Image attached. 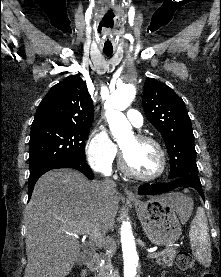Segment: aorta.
Masks as SVG:
<instances>
[{
	"label": "aorta",
	"instance_id": "aorta-1",
	"mask_svg": "<svg viewBox=\"0 0 221 277\" xmlns=\"http://www.w3.org/2000/svg\"><path fill=\"white\" fill-rule=\"evenodd\" d=\"M135 93V86L125 83L119 86L105 102L106 118L110 130L118 141L131 133V125L122 111L132 103ZM118 232L124 262V277H139L140 256L130 222L122 221Z\"/></svg>",
	"mask_w": 221,
	"mask_h": 277
}]
</instances>
